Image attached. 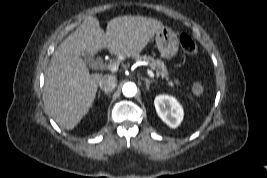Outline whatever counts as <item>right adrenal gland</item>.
Segmentation results:
<instances>
[{"mask_svg":"<svg viewBox=\"0 0 267 178\" xmlns=\"http://www.w3.org/2000/svg\"><path fill=\"white\" fill-rule=\"evenodd\" d=\"M104 94L109 95V92H104Z\"/></svg>","mask_w":267,"mask_h":178,"instance_id":"2a0ac1e0","label":"right adrenal gland"}]
</instances>
